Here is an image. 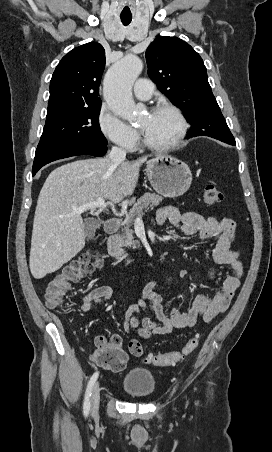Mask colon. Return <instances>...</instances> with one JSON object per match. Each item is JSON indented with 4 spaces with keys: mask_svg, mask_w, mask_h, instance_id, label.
I'll return each mask as SVG.
<instances>
[{
    "mask_svg": "<svg viewBox=\"0 0 272 452\" xmlns=\"http://www.w3.org/2000/svg\"><path fill=\"white\" fill-rule=\"evenodd\" d=\"M202 199L206 206L220 204L223 193L215 184H207L203 188ZM101 264L99 257L84 255L72 262L64 271L56 276L47 286L45 291L46 306L49 309L58 311L63 306V296L70 284L77 282L85 274L92 272ZM200 336L194 335L182 349L167 353H157L146 357L145 362L155 366L173 365L191 355L199 345ZM97 350L94 354L95 362L106 370H121L126 363V354L119 348L118 342L109 343L106 339L96 342ZM129 351L134 356L143 354V347L138 341L129 342Z\"/></svg>",
    "mask_w": 272,
    "mask_h": 452,
    "instance_id": "colon-1",
    "label": "colon"
}]
</instances>
